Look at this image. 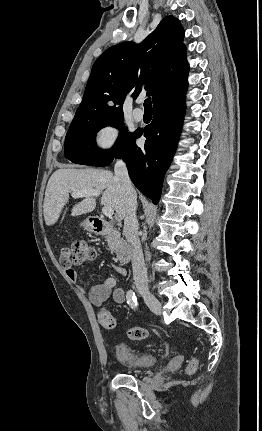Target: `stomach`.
Instances as JSON below:
<instances>
[{
    "label": "stomach",
    "mask_w": 262,
    "mask_h": 431,
    "mask_svg": "<svg viewBox=\"0 0 262 431\" xmlns=\"http://www.w3.org/2000/svg\"><path fill=\"white\" fill-rule=\"evenodd\" d=\"M81 226L87 230V231H92L93 230V226L92 223L90 221V219H86L81 223Z\"/></svg>",
    "instance_id": "obj_1"
}]
</instances>
